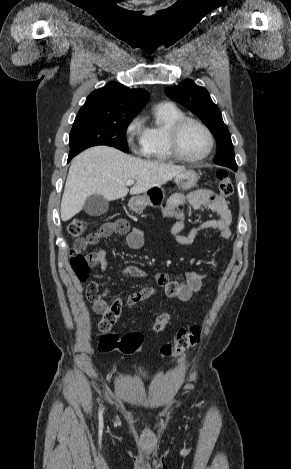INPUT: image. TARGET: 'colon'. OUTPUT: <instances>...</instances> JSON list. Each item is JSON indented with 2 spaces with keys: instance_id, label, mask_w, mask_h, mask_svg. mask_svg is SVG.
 Masks as SVG:
<instances>
[{
  "instance_id": "5ec220e1",
  "label": "colon",
  "mask_w": 291,
  "mask_h": 469,
  "mask_svg": "<svg viewBox=\"0 0 291 469\" xmlns=\"http://www.w3.org/2000/svg\"><path fill=\"white\" fill-rule=\"evenodd\" d=\"M218 193L221 199L229 197L233 192V183L226 170H218L217 174ZM86 231V222L82 218H74L68 224V232L73 237H77L76 247L70 252V264L78 279L85 282L91 275L92 261L87 255L82 253V249L90 244L97 242L103 236V230L98 228L96 231L84 236ZM87 297L90 301H94L98 295V288L95 283H89L86 289ZM116 301L112 302V307L104 310L102 318L99 322V330L102 335L98 340L99 352H112L115 350L123 354H136L141 352L143 346V335L140 332H129L123 336L110 332L111 327L116 318L121 317L123 311V303L125 302V294L117 293ZM163 300L167 299L166 295L162 296ZM170 317L166 312H162L156 318L153 324L155 333L162 332L169 323ZM201 330L199 326H192L190 329H180L176 335L173 344H165L161 347V353L166 357H178L187 351L190 347L199 342Z\"/></svg>"
}]
</instances>
